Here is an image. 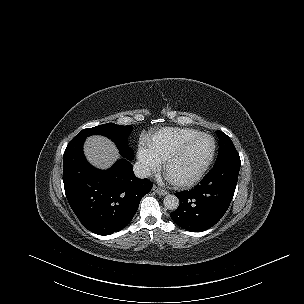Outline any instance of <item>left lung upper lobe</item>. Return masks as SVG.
<instances>
[{
	"mask_svg": "<svg viewBox=\"0 0 304 304\" xmlns=\"http://www.w3.org/2000/svg\"><path fill=\"white\" fill-rule=\"evenodd\" d=\"M216 133L219 138V152L214 166L231 159L240 158L230 137L219 130Z\"/></svg>",
	"mask_w": 304,
	"mask_h": 304,
	"instance_id": "1",
	"label": "left lung upper lobe"
}]
</instances>
